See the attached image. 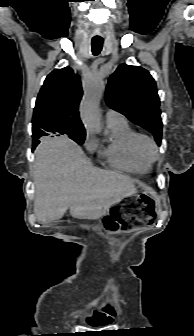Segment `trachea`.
<instances>
[{"instance_id":"1","label":"trachea","mask_w":194,"mask_h":336,"mask_svg":"<svg viewBox=\"0 0 194 336\" xmlns=\"http://www.w3.org/2000/svg\"><path fill=\"white\" fill-rule=\"evenodd\" d=\"M92 45V53L94 56H97L98 54H100L102 47H103V40H98V41H92L91 42Z\"/></svg>"}]
</instances>
